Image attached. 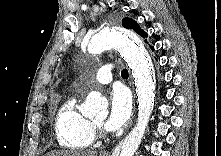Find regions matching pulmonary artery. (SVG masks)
I'll return each mask as SVG.
<instances>
[{"mask_svg":"<svg viewBox=\"0 0 221 156\" xmlns=\"http://www.w3.org/2000/svg\"><path fill=\"white\" fill-rule=\"evenodd\" d=\"M112 68L110 64L104 65L98 69L94 76V82L98 84H108L112 81Z\"/></svg>","mask_w":221,"mask_h":156,"instance_id":"e3ab8cb5","label":"pulmonary artery"}]
</instances>
